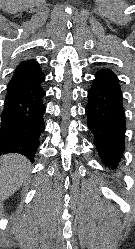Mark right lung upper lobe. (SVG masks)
<instances>
[{
	"label": "right lung upper lobe",
	"mask_w": 135,
	"mask_h": 249,
	"mask_svg": "<svg viewBox=\"0 0 135 249\" xmlns=\"http://www.w3.org/2000/svg\"><path fill=\"white\" fill-rule=\"evenodd\" d=\"M42 74V69L35 59L21 61L11 80L33 77Z\"/></svg>",
	"instance_id": "obj_1"
}]
</instances>
